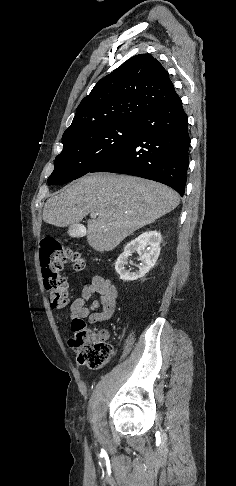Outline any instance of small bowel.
Segmentation results:
<instances>
[{
  "mask_svg": "<svg viewBox=\"0 0 236 486\" xmlns=\"http://www.w3.org/2000/svg\"><path fill=\"white\" fill-rule=\"evenodd\" d=\"M93 296L97 298L93 299ZM117 296V289L109 279L94 274L91 282L83 286L81 297L72 302L70 317L72 321L87 318L90 324L107 321L115 312ZM98 335L107 340L109 332L102 329Z\"/></svg>",
  "mask_w": 236,
  "mask_h": 486,
  "instance_id": "small-bowel-1",
  "label": "small bowel"
}]
</instances>
